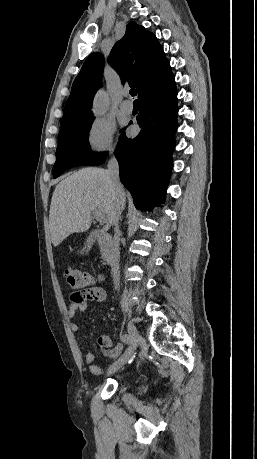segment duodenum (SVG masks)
I'll list each match as a JSON object with an SVG mask.
<instances>
[{
  "instance_id": "obj_1",
  "label": "duodenum",
  "mask_w": 257,
  "mask_h": 459,
  "mask_svg": "<svg viewBox=\"0 0 257 459\" xmlns=\"http://www.w3.org/2000/svg\"><path fill=\"white\" fill-rule=\"evenodd\" d=\"M92 234H94L98 239V244L101 250V257L103 262L105 264H108L111 259L112 250L114 247V240L112 236L99 230L92 231Z\"/></svg>"
}]
</instances>
